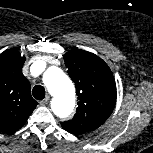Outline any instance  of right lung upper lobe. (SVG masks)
Returning <instances> with one entry per match:
<instances>
[{"mask_svg": "<svg viewBox=\"0 0 153 153\" xmlns=\"http://www.w3.org/2000/svg\"><path fill=\"white\" fill-rule=\"evenodd\" d=\"M24 62L17 50L0 54V132L20 129L37 106L30 83L22 74Z\"/></svg>", "mask_w": 153, "mask_h": 153, "instance_id": "right-lung-upper-lobe-1", "label": "right lung upper lobe"}]
</instances>
